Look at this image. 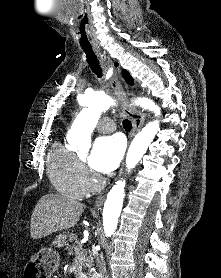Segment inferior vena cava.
Masks as SVG:
<instances>
[{
    "mask_svg": "<svg viewBox=\"0 0 221 278\" xmlns=\"http://www.w3.org/2000/svg\"><path fill=\"white\" fill-rule=\"evenodd\" d=\"M96 262H97L99 272L103 275V278H109L103 258L102 257H96Z\"/></svg>",
    "mask_w": 221,
    "mask_h": 278,
    "instance_id": "602c4592",
    "label": "inferior vena cava"
}]
</instances>
